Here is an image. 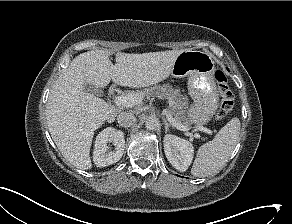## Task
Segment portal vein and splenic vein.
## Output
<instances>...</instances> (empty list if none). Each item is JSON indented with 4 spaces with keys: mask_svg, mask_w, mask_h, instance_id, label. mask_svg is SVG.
Instances as JSON below:
<instances>
[{
    "mask_svg": "<svg viewBox=\"0 0 292 224\" xmlns=\"http://www.w3.org/2000/svg\"><path fill=\"white\" fill-rule=\"evenodd\" d=\"M143 100V94L142 93H134V94H128V95H121L116 96L114 99L115 105L121 108H132L138 104H141ZM167 120L177 129L181 131H187L188 128L186 126H183L181 123H178L171 114H166ZM200 131L206 132L208 134H212V131L205 128V127H199ZM194 137L199 138V135L196 133L194 134Z\"/></svg>",
    "mask_w": 292,
    "mask_h": 224,
    "instance_id": "18ae733b",
    "label": "portal vein and splenic vein"
}]
</instances>
